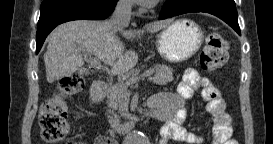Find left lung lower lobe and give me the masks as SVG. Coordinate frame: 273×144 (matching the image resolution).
Segmentation results:
<instances>
[{
    "instance_id": "obj_1",
    "label": "left lung lower lobe",
    "mask_w": 273,
    "mask_h": 144,
    "mask_svg": "<svg viewBox=\"0 0 273 144\" xmlns=\"http://www.w3.org/2000/svg\"><path fill=\"white\" fill-rule=\"evenodd\" d=\"M188 12L213 14L224 20L241 35L234 0H166L159 19H166Z\"/></svg>"
}]
</instances>
